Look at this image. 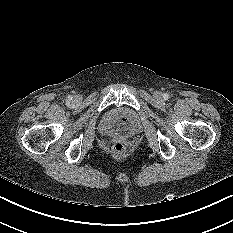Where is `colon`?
Segmentation results:
<instances>
[{
  "instance_id": "obj_1",
  "label": "colon",
  "mask_w": 233,
  "mask_h": 233,
  "mask_svg": "<svg viewBox=\"0 0 233 233\" xmlns=\"http://www.w3.org/2000/svg\"><path fill=\"white\" fill-rule=\"evenodd\" d=\"M125 146L123 143L121 142H116L112 145V152L116 155V156H122L125 153Z\"/></svg>"
}]
</instances>
